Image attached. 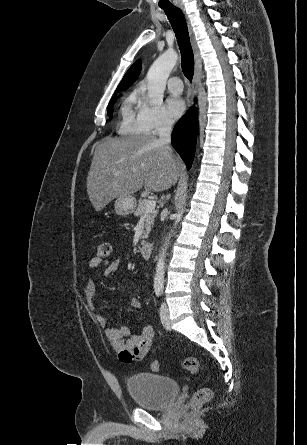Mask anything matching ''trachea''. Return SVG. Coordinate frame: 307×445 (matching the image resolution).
I'll return each instance as SVG.
<instances>
[{"label": "trachea", "mask_w": 307, "mask_h": 445, "mask_svg": "<svg viewBox=\"0 0 307 445\" xmlns=\"http://www.w3.org/2000/svg\"><path fill=\"white\" fill-rule=\"evenodd\" d=\"M176 34L181 53V68L185 77L192 80L194 73V57L189 40V32L182 11L174 6L163 8Z\"/></svg>", "instance_id": "trachea-1"}]
</instances>
